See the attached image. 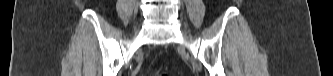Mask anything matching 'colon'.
<instances>
[{"instance_id":"1","label":"colon","mask_w":333,"mask_h":76,"mask_svg":"<svg viewBox=\"0 0 333 76\" xmlns=\"http://www.w3.org/2000/svg\"><path fill=\"white\" fill-rule=\"evenodd\" d=\"M160 76H164L165 74H159Z\"/></svg>"}]
</instances>
